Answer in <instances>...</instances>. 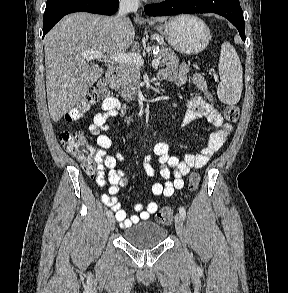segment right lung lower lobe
Here are the masks:
<instances>
[{
	"mask_svg": "<svg viewBox=\"0 0 288 293\" xmlns=\"http://www.w3.org/2000/svg\"><path fill=\"white\" fill-rule=\"evenodd\" d=\"M119 7V0H58L46 4L44 12L43 37L65 15L73 12H90L113 15Z\"/></svg>",
	"mask_w": 288,
	"mask_h": 293,
	"instance_id": "right-lung-lower-lobe-1",
	"label": "right lung lower lobe"
}]
</instances>
